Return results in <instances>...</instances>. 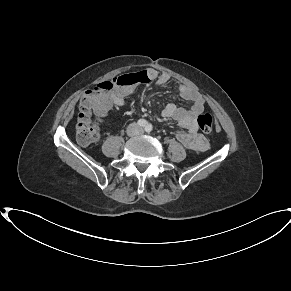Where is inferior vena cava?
<instances>
[{
    "instance_id": "inferior-vena-cava-1",
    "label": "inferior vena cava",
    "mask_w": 291,
    "mask_h": 291,
    "mask_svg": "<svg viewBox=\"0 0 291 291\" xmlns=\"http://www.w3.org/2000/svg\"><path fill=\"white\" fill-rule=\"evenodd\" d=\"M129 131L131 135H138L143 132L142 128L138 126L136 123H133L129 126Z\"/></svg>"
}]
</instances>
